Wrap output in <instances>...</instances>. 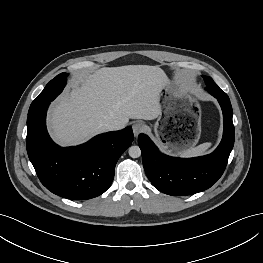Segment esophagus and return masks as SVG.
Segmentation results:
<instances>
[{
  "instance_id": "34e87169",
  "label": "esophagus",
  "mask_w": 263,
  "mask_h": 263,
  "mask_svg": "<svg viewBox=\"0 0 263 263\" xmlns=\"http://www.w3.org/2000/svg\"><path fill=\"white\" fill-rule=\"evenodd\" d=\"M143 128H144V124L142 122L140 121L134 122L132 124L134 136L137 137L139 133L143 130Z\"/></svg>"
}]
</instances>
